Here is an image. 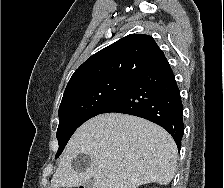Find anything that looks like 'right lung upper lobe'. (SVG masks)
Returning a JSON list of instances; mask_svg holds the SVG:
<instances>
[{
  "mask_svg": "<svg viewBox=\"0 0 224 188\" xmlns=\"http://www.w3.org/2000/svg\"><path fill=\"white\" fill-rule=\"evenodd\" d=\"M165 59L151 36L130 34L87 59L74 72L67 87L105 78L134 79Z\"/></svg>",
  "mask_w": 224,
  "mask_h": 188,
  "instance_id": "obj_1",
  "label": "right lung upper lobe"
}]
</instances>
